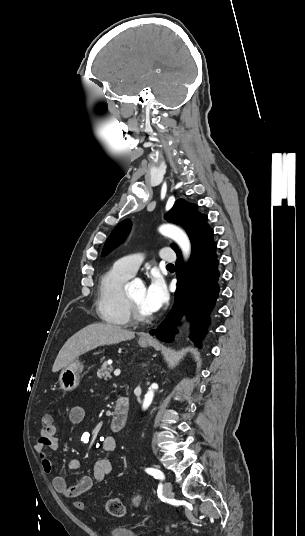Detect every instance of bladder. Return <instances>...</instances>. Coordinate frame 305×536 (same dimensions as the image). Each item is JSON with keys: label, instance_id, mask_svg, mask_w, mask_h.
I'll return each mask as SVG.
<instances>
[{"label": "bladder", "instance_id": "obj_1", "mask_svg": "<svg viewBox=\"0 0 305 536\" xmlns=\"http://www.w3.org/2000/svg\"><path fill=\"white\" fill-rule=\"evenodd\" d=\"M107 536H137L135 530L122 525H110L106 529Z\"/></svg>", "mask_w": 305, "mask_h": 536}]
</instances>
